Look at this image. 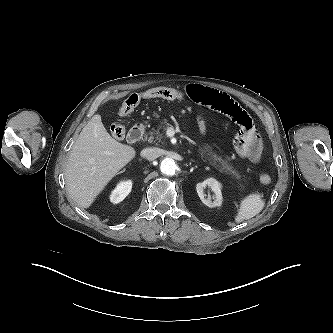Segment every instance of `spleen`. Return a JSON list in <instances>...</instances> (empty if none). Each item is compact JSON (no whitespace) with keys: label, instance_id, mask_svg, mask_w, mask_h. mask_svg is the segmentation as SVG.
I'll list each match as a JSON object with an SVG mask.
<instances>
[{"label":"spleen","instance_id":"1","mask_svg":"<svg viewBox=\"0 0 333 333\" xmlns=\"http://www.w3.org/2000/svg\"><path fill=\"white\" fill-rule=\"evenodd\" d=\"M264 201L259 194H250L245 197L240 204L237 216L235 217L236 223L244 220L251 219L262 211L264 208Z\"/></svg>","mask_w":333,"mask_h":333}]
</instances>
